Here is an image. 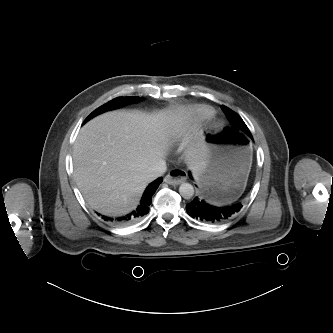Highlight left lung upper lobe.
<instances>
[{
  "label": "left lung upper lobe",
  "instance_id": "5c2ea615",
  "mask_svg": "<svg viewBox=\"0 0 333 333\" xmlns=\"http://www.w3.org/2000/svg\"><path fill=\"white\" fill-rule=\"evenodd\" d=\"M222 108L225 111V113L227 115V118L231 123V130L235 134L241 135L242 137L249 136V137L252 138V135H251L248 127L246 126V124L242 120V118L236 112L232 111L228 107L222 105Z\"/></svg>",
  "mask_w": 333,
  "mask_h": 333
}]
</instances>
